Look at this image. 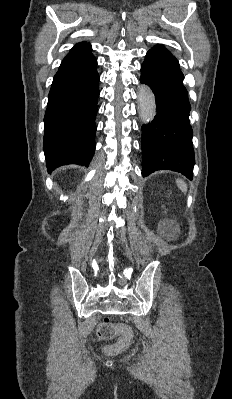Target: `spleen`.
<instances>
[{
	"label": "spleen",
	"mask_w": 232,
	"mask_h": 399,
	"mask_svg": "<svg viewBox=\"0 0 232 399\" xmlns=\"http://www.w3.org/2000/svg\"><path fill=\"white\" fill-rule=\"evenodd\" d=\"M176 184H177L179 190H181V192H184V194H186V192H187L186 182H184V180H180V178H177Z\"/></svg>",
	"instance_id": "obj_1"
}]
</instances>
